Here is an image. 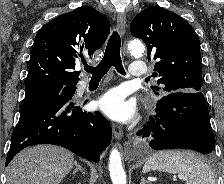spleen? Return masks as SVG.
<instances>
[{"mask_svg": "<svg viewBox=\"0 0 224 184\" xmlns=\"http://www.w3.org/2000/svg\"><path fill=\"white\" fill-rule=\"evenodd\" d=\"M151 170L178 173L186 176V184H215L211 167L191 151H161L145 163L143 172Z\"/></svg>", "mask_w": 224, "mask_h": 184, "instance_id": "spleen-1", "label": "spleen"}]
</instances>
